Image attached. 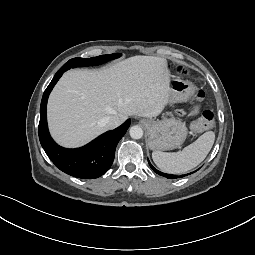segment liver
Segmentation results:
<instances>
[{
	"label": "liver",
	"instance_id": "6515ba94",
	"mask_svg": "<svg viewBox=\"0 0 255 255\" xmlns=\"http://www.w3.org/2000/svg\"><path fill=\"white\" fill-rule=\"evenodd\" d=\"M170 76L164 58L140 55L108 69L68 71L49 97L50 132L62 146L77 147L107 130V116L156 117L169 103Z\"/></svg>",
	"mask_w": 255,
	"mask_h": 255
}]
</instances>
